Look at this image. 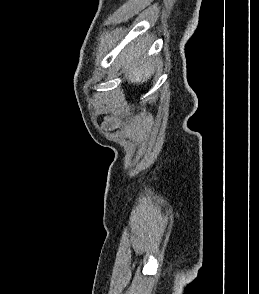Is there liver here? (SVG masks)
Masks as SVG:
<instances>
[{
	"label": "liver",
	"instance_id": "liver-1",
	"mask_svg": "<svg viewBox=\"0 0 259 294\" xmlns=\"http://www.w3.org/2000/svg\"><path fill=\"white\" fill-rule=\"evenodd\" d=\"M144 52L140 46L130 45L118 57L129 83L143 84L154 72V65L142 59Z\"/></svg>",
	"mask_w": 259,
	"mask_h": 294
}]
</instances>
